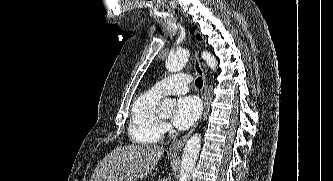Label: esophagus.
I'll use <instances>...</instances> for the list:
<instances>
[{
	"label": "esophagus",
	"mask_w": 333,
	"mask_h": 181,
	"mask_svg": "<svg viewBox=\"0 0 333 181\" xmlns=\"http://www.w3.org/2000/svg\"><path fill=\"white\" fill-rule=\"evenodd\" d=\"M194 68L196 70V72L201 75L202 79H203V87L201 90V97H202V102H203V110L206 107V101H207V78H206V73L204 71V68L202 66V63L200 61L199 58V52L196 51L194 58ZM198 123H196L194 125V127L182 138H180L179 140H177L174 144H172L169 148L170 152L172 153H177L179 151H181V149L183 148L186 140L189 138V136L193 133V131L196 129Z\"/></svg>",
	"instance_id": "34e87169"
}]
</instances>
